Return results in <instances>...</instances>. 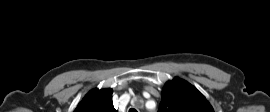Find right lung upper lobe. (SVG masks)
Returning <instances> with one entry per match:
<instances>
[{
  "instance_id": "cb5924a9",
  "label": "right lung upper lobe",
  "mask_w": 270,
  "mask_h": 112,
  "mask_svg": "<svg viewBox=\"0 0 270 112\" xmlns=\"http://www.w3.org/2000/svg\"><path fill=\"white\" fill-rule=\"evenodd\" d=\"M112 89H93L78 104L74 112H118L112 102Z\"/></svg>"
}]
</instances>
